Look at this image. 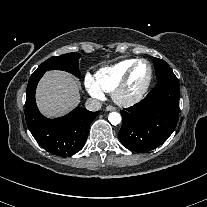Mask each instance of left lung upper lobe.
<instances>
[{"instance_id":"obj_1","label":"left lung upper lobe","mask_w":207,"mask_h":207,"mask_svg":"<svg viewBox=\"0 0 207 207\" xmlns=\"http://www.w3.org/2000/svg\"><path fill=\"white\" fill-rule=\"evenodd\" d=\"M158 83L170 79H177L170 66L163 60L156 58L154 61Z\"/></svg>"}]
</instances>
